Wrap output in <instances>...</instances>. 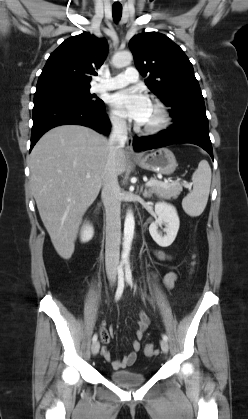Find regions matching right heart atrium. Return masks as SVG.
Segmentation results:
<instances>
[{
  "mask_svg": "<svg viewBox=\"0 0 248 419\" xmlns=\"http://www.w3.org/2000/svg\"><path fill=\"white\" fill-rule=\"evenodd\" d=\"M109 120H110L112 126L116 129L124 130L126 128V122L115 111L110 112Z\"/></svg>",
  "mask_w": 248,
  "mask_h": 419,
  "instance_id": "d8ad5b80",
  "label": "right heart atrium"
}]
</instances>
